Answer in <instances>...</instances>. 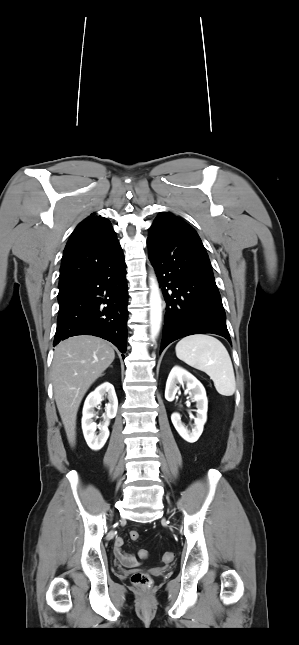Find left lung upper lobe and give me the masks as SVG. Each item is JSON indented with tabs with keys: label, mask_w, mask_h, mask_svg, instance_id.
Here are the masks:
<instances>
[{
	"label": "left lung upper lobe",
	"mask_w": 299,
	"mask_h": 645,
	"mask_svg": "<svg viewBox=\"0 0 299 645\" xmlns=\"http://www.w3.org/2000/svg\"><path fill=\"white\" fill-rule=\"evenodd\" d=\"M171 221H183V220L181 218L173 215L170 212H161V213L158 214V216L155 219V221H154L152 226H161V225H164L165 223L171 222Z\"/></svg>",
	"instance_id": "5c2ea615"
}]
</instances>
